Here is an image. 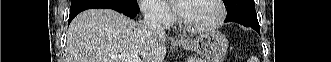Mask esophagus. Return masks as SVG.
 Wrapping results in <instances>:
<instances>
[{
	"label": "esophagus",
	"instance_id": "34e87169",
	"mask_svg": "<svg viewBox=\"0 0 331 62\" xmlns=\"http://www.w3.org/2000/svg\"><path fill=\"white\" fill-rule=\"evenodd\" d=\"M181 39H182V38L179 37V36H175V37H174V40H175V41H180Z\"/></svg>",
	"mask_w": 331,
	"mask_h": 62
}]
</instances>
